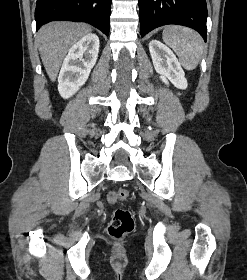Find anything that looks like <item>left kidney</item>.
I'll use <instances>...</instances> for the list:
<instances>
[{
  "instance_id": "obj_1",
  "label": "left kidney",
  "mask_w": 247,
  "mask_h": 280,
  "mask_svg": "<svg viewBox=\"0 0 247 280\" xmlns=\"http://www.w3.org/2000/svg\"><path fill=\"white\" fill-rule=\"evenodd\" d=\"M149 51L157 73L165 84L170 81L178 89L187 88L184 71L174 53L158 40L149 43Z\"/></svg>"
}]
</instances>
